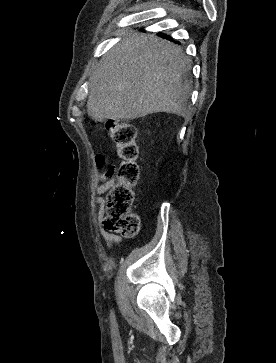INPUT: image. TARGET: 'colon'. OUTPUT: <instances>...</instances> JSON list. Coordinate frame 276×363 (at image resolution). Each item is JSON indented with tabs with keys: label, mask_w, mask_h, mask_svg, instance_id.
<instances>
[{
	"label": "colon",
	"mask_w": 276,
	"mask_h": 363,
	"mask_svg": "<svg viewBox=\"0 0 276 363\" xmlns=\"http://www.w3.org/2000/svg\"><path fill=\"white\" fill-rule=\"evenodd\" d=\"M106 130L117 147L120 164L116 171V182L105 198L103 225L109 232L133 237L140 227L139 216L132 212L135 187L140 178L137 130L132 123L116 121L109 122Z\"/></svg>",
	"instance_id": "5ec220e1"
}]
</instances>
